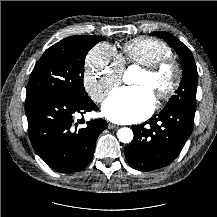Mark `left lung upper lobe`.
<instances>
[{
  "instance_id": "left-lung-upper-lobe-1",
  "label": "left lung upper lobe",
  "mask_w": 217,
  "mask_h": 217,
  "mask_svg": "<svg viewBox=\"0 0 217 217\" xmlns=\"http://www.w3.org/2000/svg\"><path fill=\"white\" fill-rule=\"evenodd\" d=\"M151 35L163 38L178 54L182 70L183 78L176 94L171 97L168 104L163 110L175 107H186L196 110V89H197V67L191 51L188 47L178 40L174 35L158 31Z\"/></svg>"
}]
</instances>
